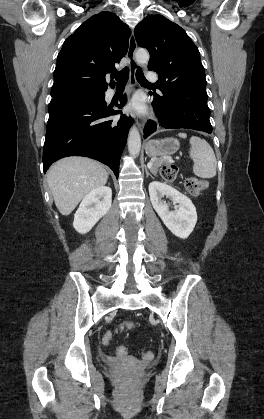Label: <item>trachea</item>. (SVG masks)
Masks as SVG:
<instances>
[{
    "instance_id": "3493384b",
    "label": "trachea",
    "mask_w": 264,
    "mask_h": 419,
    "mask_svg": "<svg viewBox=\"0 0 264 419\" xmlns=\"http://www.w3.org/2000/svg\"><path fill=\"white\" fill-rule=\"evenodd\" d=\"M113 76L115 77V79L117 80V84L119 85H125L128 81L129 78V69L127 67H125L123 70H121L120 72H116L113 74ZM136 79L139 83L141 84H147V85H154L150 82H148L143 74V71L140 67L137 68L136 71Z\"/></svg>"
}]
</instances>
